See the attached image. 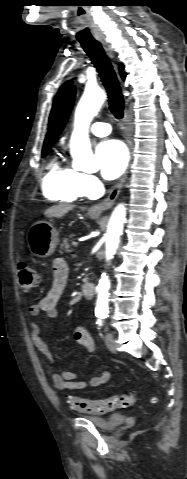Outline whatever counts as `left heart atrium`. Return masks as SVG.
Here are the masks:
<instances>
[{"mask_svg": "<svg viewBox=\"0 0 187 479\" xmlns=\"http://www.w3.org/2000/svg\"><path fill=\"white\" fill-rule=\"evenodd\" d=\"M102 176L112 180L120 176L126 168L128 155L125 146L119 140L102 141L96 147Z\"/></svg>", "mask_w": 187, "mask_h": 479, "instance_id": "left-heart-atrium-1", "label": "left heart atrium"}]
</instances>
